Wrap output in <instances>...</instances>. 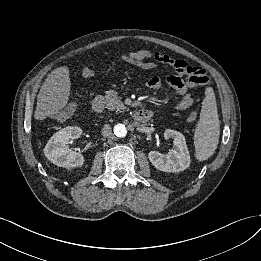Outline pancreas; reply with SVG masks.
<instances>
[{
	"mask_svg": "<svg viewBox=\"0 0 261 261\" xmlns=\"http://www.w3.org/2000/svg\"><path fill=\"white\" fill-rule=\"evenodd\" d=\"M105 98H106V107L110 111H121L126 109L125 105L119 99V96L116 91L114 90L107 91Z\"/></svg>",
	"mask_w": 261,
	"mask_h": 261,
	"instance_id": "1",
	"label": "pancreas"
}]
</instances>
